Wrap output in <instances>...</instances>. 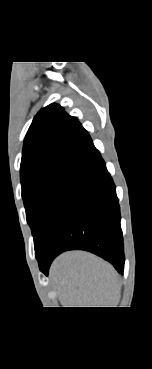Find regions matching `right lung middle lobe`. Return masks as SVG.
I'll use <instances>...</instances> for the list:
<instances>
[{
  "label": "right lung middle lobe",
  "instance_id": "obj_1",
  "mask_svg": "<svg viewBox=\"0 0 152 369\" xmlns=\"http://www.w3.org/2000/svg\"><path fill=\"white\" fill-rule=\"evenodd\" d=\"M78 164L62 162L34 169L21 177L22 197L35 248L42 239L54 206Z\"/></svg>",
  "mask_w": 152,
  "mask_h": 369
}]
</instances>
